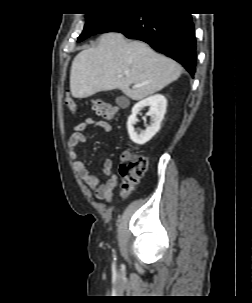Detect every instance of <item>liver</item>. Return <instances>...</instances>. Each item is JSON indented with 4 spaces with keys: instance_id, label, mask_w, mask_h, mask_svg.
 <instances>
[{
    "instance_id": "liver-1",
    "label": "liver",
    "mask_w": 252,
    "mask_h": 303,
    "mask_svg": "<svg viewBox=\"0 0 252 303\" xmlns=\"http://www.w3.org/2000/svg\"><path fill=\"white\" fill-rule=\"evenodd\" d=\"M182 67L140 41H127L120 33L103 34L97 47L81 51L73 60L70 91L87 98L99 91L121 90L141 100L177 80ZM138 85V87L130 86Z\"/></svg>"
}]
</instances>
